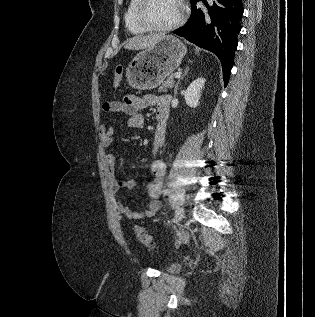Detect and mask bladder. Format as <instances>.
<instances>
[{
  "mask_svg": "<svg viewBox=\"0 0 315 317\" xmlns=\"http://www.w3.org/2000/svg\"><path fill=\"white\" fill-rule=\"evenodd\" d=\"M180 269H181V264L178 262L170 263L166 268V270L169 272H177Z\"/></svg>",
  "mask_w": 315,
  "mask_h": 317,
  "instance_id": "bladder-1",
  "label": "bladder"
}]
</instances>
